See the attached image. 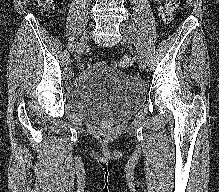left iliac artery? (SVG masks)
<instances>
[{
  "mask_svg": "<svg viewBox=\"0 0 219 192\" xmlns=\"http://www.w3.org/2000/svg\"><path fill=\"white\" fill-rule=\"evenodd\" d=\"M132 43L134 44L136 50H137V53H141L142 54V51L141 49L139 48V45L138 43L136 42L135 38L132 37Z\"/></svg>",
  "mask_w": 219,
  "mask_h": 192,
  "instance_id": "left-iliac-artery-1",
  "label": "left iliac artery"
}]
</instances>
